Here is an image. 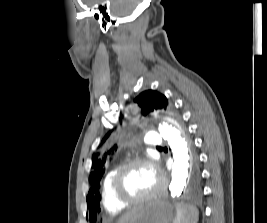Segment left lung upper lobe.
I'll return each mask as SVG.
<instances>
[{"label":"left lung upper lobe","mask_w":267,"mask_h":223,"mask_svg":"<svg viewBox=\"0 0 267 223\" xmlns=\"http://www.w3.org/2000/svg\"><path fill=\"white\" fill-rule=\"evenodd\" d=\"M138 106L141 108V113L147 115L154 110H166L168 112H173L172 103L166 98L165 95L158 91L146 90L137 96L134 100ZM110 133H108L102 142H104ZM110 151L105 152L100 155L95 154L92 157V172L89 176V182L91 188L87 195V211L91 214L90 221L92 222L93 217L95 219L96 214H106V209L102 206L100 201V181L104 173L105 166L109 162ZM191 171H199L197 165V158L194 154L191 155Z\"/></svg>","instance_id":"5c2ea615"}]
</instances>
